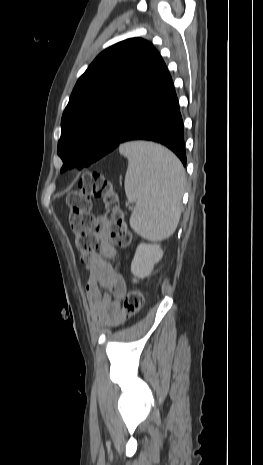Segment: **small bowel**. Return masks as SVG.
<instances>
[{"mask_svg": "<svg viewBox=\"0 0 263 465\" xmlns=\"http://www.w3.org/2000/svg\"><path fill=\"white\" fill-rule=\"evenodd\" d=\"M97 237L100 244L86 284L90 316L96 325L114 324L115 327L127 328L129 322H119L120 300L126 293V283L123 276L108 262L116 256V248L110 242L104 226L98 227ZM120 333L128 334L129 330L121 329Z\"/></svg>", "mask_w": 263, "mask_h": 465, "instance_id": "1", "label": "small bowel"}]
</instances>
